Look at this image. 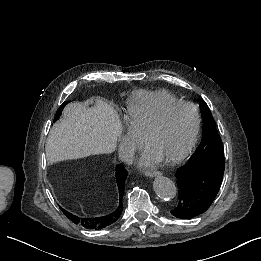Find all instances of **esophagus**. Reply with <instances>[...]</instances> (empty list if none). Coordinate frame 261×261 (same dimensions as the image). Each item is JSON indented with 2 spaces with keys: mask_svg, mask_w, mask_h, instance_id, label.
<instances>
[{
  "mask_svg": "<svg viewBox=\"0 0 261 261\" xmlns=\"http://www.w3.org/2000/svg\"><path fill=\"white\" fill-rule=\"evenodd\" d=\"M145 175H146L147 177L153 178V177H155V176L161 175V172H159V171H146V172H145Z\"/></svg>",
  "mask_w": 261,
  "mask_h": 261,
  "instance_id": "34e87169",
  "label": "esophagus"
}]
</instances>
